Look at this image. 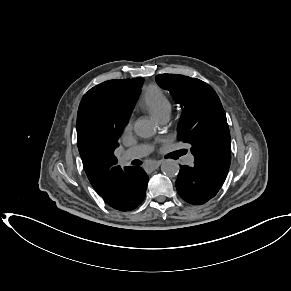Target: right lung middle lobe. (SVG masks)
<instances>
[{
  "mask_svg": "<svg viewBox=\"0 0 291 291\" xmlns=\"http://www.w3.org/2000/svg\"><path fill=\"white\" fill-rule=\"evenodd\" d=\"M142 82L143 79L140 80L138 88L141 87ZM130 113L131 110H128L119 102L109 101L105 106V112L103 115L104 127L109 137L113 140L118 141Z\"/></svg>",
  "mask_w": 291,
  "mask_h": 291,
  "instance_id": "right-lung-middle-lobe-1",
  "label": "right lung middle lobe"
}]
</instances>
